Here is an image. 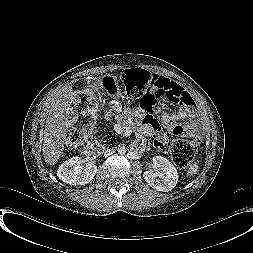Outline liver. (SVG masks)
I'll return each mask as SVG.
<instances>
[{
  "label": "liver",
  "mask_w": 253,
  "mask_h": 253,
  "mask_svg": "<svg viewBox=\"0 0 253 253\" xmlns=\"http://www.w3.org/2000/svg\"><path fill=\"white\" fill-rule=\"evenodd\" d=\"M72 87H62L54 96L44 130L43 154L48 165L58 162L64 151V141L70 128L69 99Z\"/></svg>",
  "instance_id": "liver-1"
}]
</instances>
